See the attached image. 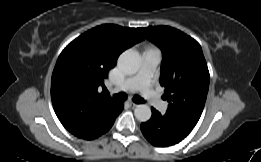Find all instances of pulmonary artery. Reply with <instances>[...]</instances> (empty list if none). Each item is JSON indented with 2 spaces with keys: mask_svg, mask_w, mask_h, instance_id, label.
Wrapping results in <instances>:
<instances>
[{
  "mask_svg": "<svg viewBox=\"0 0 261 162\" xmlns=\"http://www.w3.org/2000/svg\"><path fill=\"white\" fill-rule=\"evenodd\" d=\"M162 59L160 50L156 48L146 49L141 56V64L136 74L126 78L118 87L119 91L139 90L150 104L160 112L167 109V103L164 102L156 91L151 87V81L155 71Z\"/></svg>",
  "mask_w": 261,
  "mask_h": 162,
  "instance_id": "obj_1",
  "label": "pulmonary artery"
}]
</instances>
